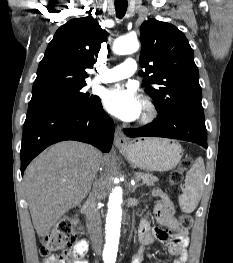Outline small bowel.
<instances>
[{
	"label": "small bowel",
	"instance_id": "obj_1",
	"mask_svg": "<svg viewBox=\"0 0 233 263\" xmlns=\"http://www.w3.org/2000/svg\"><path fill=\"white\" fill-rule=\"evenodd\" d=\"M153 193L158 199L154 209L155 217L159 224L165 228L151 227L147 219L141 221L138 235L142 246L133 256L131 263H142L145 249L156 240L168 249L169 255L173 258V263H186L189 232L179 225L175 217L173 203L160 189H155ZM88 249V241L85 239L80 240L76 247V257L79 260L74 263H89L85 259Z\"/></svg>",
	"mask_w": 233,
	"mask_h": 263
}]
</instances>
